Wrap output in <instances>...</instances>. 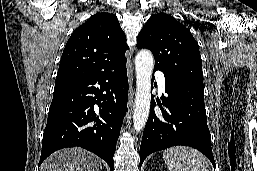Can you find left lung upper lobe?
I'll return each instance as SVG.
<instances>
[{
  "instance_id": "1",
  "label": "left lung upper lobe",
  "mask_w": 257,
  "mask_h": 171,
  "mask_svg": "<svg viewBox=\"0 0 257 171\" xmlns=\"http://www.w3.org/2000/svg\"><path fill=\"white\" fill-rule=\"evenodd\" d=\"M137 47L151 50L155 67L203 90L202 60L189 29L166 13L151 16L137 37Z\"/></svg>"
}]
</instances>
